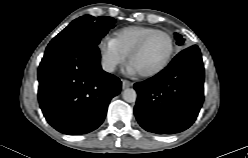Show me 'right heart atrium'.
Wrapping results in <instances>:
<instances>
[{
	"label": "right heart atrium",
	"mask_w": 248,
	"mask_h": 158,
	"mask_svg": "<svg viewBox=\"0 0 248 158\" xmlns=\"http://www.w3.org/2000/svg\"><path fill=\"white\" fill-rule=\"evenodd\" d=\"M98 52L102 67L108 72H113L118 66L122 65L127 57L109 38H104L99 42Z\"/></svg>",
	"instance_id": "obj_1"
}]
</instances>
